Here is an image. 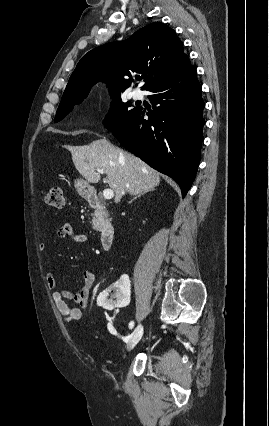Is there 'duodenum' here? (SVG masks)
I'll use <instances>...</instances> for the list:
<instances>
[{
    "mask_svg": "<svg viewBox=\"0 0 269 426\" xmlns=\"http://www.w3.org/2000/svg\"><path fill=\"white\" fill-rule=\"evenodd\" d=\"M88 203L96 210V226L100 229V240L102 247L107 250L111 247L115 237V230L107 218L106 207L102 198L94 191L86 194Z\"/></svg>",
    "mask_w": 269,
    "mask_h": 426,
    "instance_id": "1",
    "label": "duodenum"
}]
</instances>
